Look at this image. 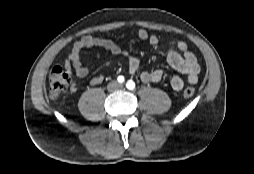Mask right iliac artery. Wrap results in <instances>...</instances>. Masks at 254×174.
<instances>
[{
	"label": "right iliac artery",
	"instance_id": "82829eb1",
	"mask_svg": "<svg viewBox=\"0 0 254 174\" xmlns=\"http://www.w3.org/2000/svg\"><path fill=\"white\" fill-rule=\"evenodd\" d=\"M117 80H118L119 83H123V82L125 81V79H124L123 76H119V77L117 78Z\"/></svg>",
	"mask_w": 254,
	"mask_h": 174
}]
</instances>
